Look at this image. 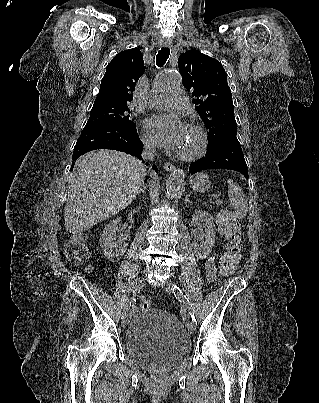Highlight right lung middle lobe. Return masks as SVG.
Returning a JSON list of instances; mask_svg holds the SVG:
<instances>
[{"instance_id":"1","label":"right lung middle lobe","mask_w":319,"mask_h":403,"mask_svg":"<svg viewBox=\"0 0 319 403\" xmlns=\"http://www.w3.org/2000/svg\"><path fill=\"white\" fill-rule=\"evenodd\" d=\"M129 106L117 103L94 102L86 126L96 124H117L127 128H135L129 119Z\"/></svg>"}]
</instances>
